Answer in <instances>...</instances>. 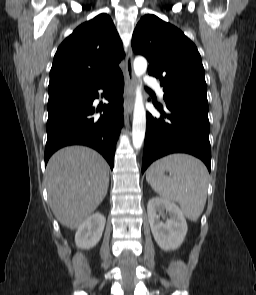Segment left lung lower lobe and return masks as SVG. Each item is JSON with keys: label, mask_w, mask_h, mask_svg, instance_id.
<instances>
[{"label": "left lung lower lobe", "mask_w": 256, "mask_h": 295, "mask_svg": "<svg viewBox=\"0 0 256 295\" xmlns=\"http://www.w3.org/2000/svg\"><path fill=\"white\" fill-rule=\"evenodd\" d=\"M156 107L167 120L147 113L142 173L153 161L171 153L194 155L210 171L208 109L184 103H166V111L162 106Z\"/></svg>", "instance_id": "0a47b994"}]
</instances>
